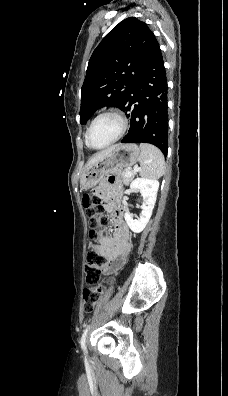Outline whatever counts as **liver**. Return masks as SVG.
Here are the masks:
<instances>
[{"mask_svg": "<svg viewBox=\"0 0 228 396\" xmlns=\"http://www.w3.org/2000/svg\"><path fill=\"white\" fill-rule=\"evenodd\" d=\"M117 145L111 146L101 152L96 153L86 164L85 169L89 168L90 166H92L93 164H95L96 162H98L99 160L103 159L105 156H107L109 153H111Z\"/></svg>", "mask_w": 228, "mask_h": 396, "instance_id": "liver-1", "label": "liver"}]
</instances>
